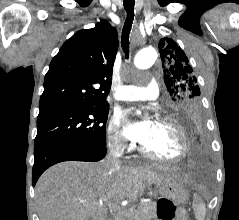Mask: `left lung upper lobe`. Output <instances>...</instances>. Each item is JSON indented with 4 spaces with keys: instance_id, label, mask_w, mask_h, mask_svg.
<instances>
[{
    "instance_id": "5c2ea615",
    "label": "left lung upper lobe",
    "mask_w": 239,
    "mask_h": 220,
    "mask_svg": "<svg viewBox=\"0 0 239 220\" xmlns=\"http://www.w3.org/2000/svg\"><path fill=\"white\" fill-rule=\"evenodd\" d=\"M159 52L172 114L178 116L185 110H201L200 88L183 50L172 39L163 38Z\"/></svg>"
}]
</instances>
